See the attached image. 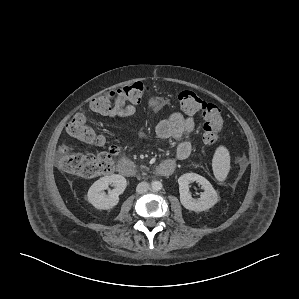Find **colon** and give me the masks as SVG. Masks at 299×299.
Here are the masks:
<instances>
[{"mask_svg":"<svg viewBox=\"0 0 299 299\" xmlns=\"http://www.w3.org/2000/svg\"><path fill=\"white\" fill-rule=\"evenodd\" d=\"M149 91L148 85L134 82L93 99L90 107L94 112L106 115L113 109L117 101L139 103ZM178 101L181 110L185 113H200L202 115L204 119V142L210 146L218 144L223 129L220 108L189 90L180 92ZM66 130L70 136L87 144L103 145L105 142L103 135L89 125L83 114H76L67 124ZM60 153L59 167L62 171L83 178H92L113 171L118 149L112 146L107 151L98 154H85L72 152L64 146ZM237 162L240 167H244L246 158L239 156Z\"/></svg>","mask_w":299,"mask_h":299,"instance_id":"obj_1","label":"colon"}]
</instances>
